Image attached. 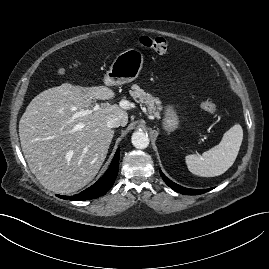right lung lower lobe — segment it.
<instances>
[{"instance_id": "right-lung-lower-lobe-1", "label": "right lung lower lobe", "mask_w": 269, "mask_h": 269, "mask_svg": "<svg viewBox=\"0 0 269 269\" xmlns=\"http://www.w3.org/2000/svg\"><path fill=\"white\" fill-rule=\"evenodd\" d=\"M119 156H120V149L117 150L113 161L111 162L108 170L106 173L91 187L87 188L86 190L82 191L81 193L74 195V196H63L58 195V197L62 199H70V200H90L97 198L101 195H104L108 192V190L114 184L116 176L118 174V167H119Z\"/></svg>"}]
</instances>
